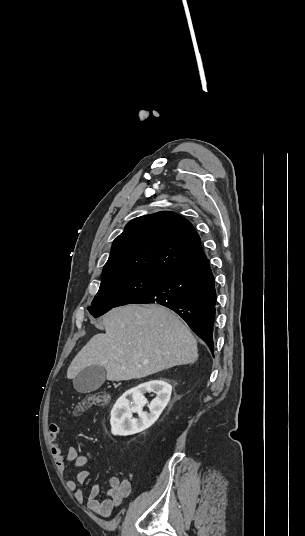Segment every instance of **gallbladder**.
Instances as JSON below:
<instances>
[{
    "instance_id": "obj_1",
    "label": "gallbladder",
    "mask_w": 305,
    "mask_h": 536,
    "mask_svg": "<svg viewBox=\"0 0 305 536\" xmlns=\"http://www.w3.org/2000/svg\"><path fill=\"white\" fill-rule=\"evenodd\" d=\"M106 380L103 366H88L73 378V386L80 394H89L98 390Z\"/></svg>"
}]
</instances>
